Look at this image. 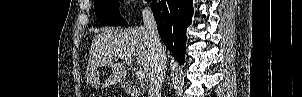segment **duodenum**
I'll list each match as a JSON object with an SVG mask.
<instances>
[{"label":"duodenum","instance_id":"obj_1","mask_svg":"<svg viewBox=\"0 0 302 97\" xmlns=\"http://www.w3.org/2000/svg\"><path fill=\"white\" fill-rule=\"evenodd\" d=\"M124 89L126 91V93L128 94V96L130 97H140V89L128 82H124L123 84Z\"/></svg>","mask_w":302,"mask_h":97}]
</instances>
